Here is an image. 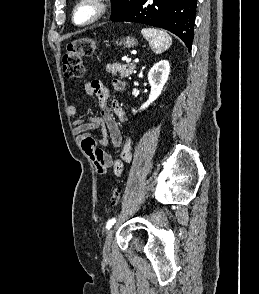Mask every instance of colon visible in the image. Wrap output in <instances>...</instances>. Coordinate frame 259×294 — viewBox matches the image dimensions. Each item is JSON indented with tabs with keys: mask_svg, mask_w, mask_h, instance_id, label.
<instances>
[{
	"mask_svg": "<svg viewBox=\"0 0 259 294\" xmlns=\"http://www.w3.org/2000/svg\"><path fill=\"white\" fill-rule=\"evenodd\" d=\"M98 46V42L90 37H82L70 41L65 46L62 57L63 72L66 77L78 79L83 77L85 66L83 58L92 55ZM122 197V188L116 187L112 191L110 203L116 207Z\"/></svg>",
	"mask_w": 259,
	"mask_h": 294,
	"instance_id": "obj_1",
	"label": "colon"
}]
</instances>
